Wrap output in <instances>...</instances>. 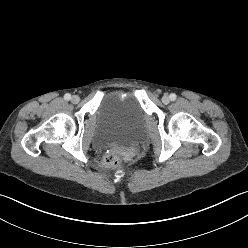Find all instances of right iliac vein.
I'll list each match as a JSON object with an SVG mask.
<instances>
[{
	"label": "right iliac vein",
	"mask_w": 248,
	"mask_h": 248,
	"mask_svg": "<svg viewBox=\"0 0 248 248\" xmlns=\"http://www.w3.org/2000/svg\"><path fill=\"white\" fill-rule=\"evenodd\" d=\"M71 101L74 104H77L80 101V97L78 95H74V96H72Z\"/></svg>",
	"instance_id": "right-iliac-vein-1"
}]
</instances>
